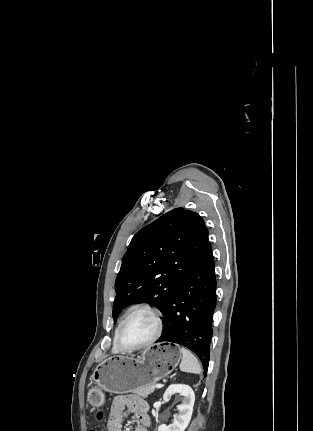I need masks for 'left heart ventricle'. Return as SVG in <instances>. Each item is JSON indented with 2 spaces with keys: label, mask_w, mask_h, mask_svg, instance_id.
Returning a JSON list of instances; mask_svg holds the SVG:
<instances>
[{
  "label": "left heart ventricle",
  "mask_w": 313,
  "mask_h": 431,
  "mask_svg": "<svg viewBox=\"0 0 313 431\" xmlns=\"http://www.w3.org/2000/svg\"><path fill=\"white\" fill-rule=\"evenodd\" d=\"M155 330L156 321L153 315L147 311H139L124 326L120 340L124 346H138L148 341Z\"/></svg>",
  "instance_id": "b2bd125f"
}]
</instances>
